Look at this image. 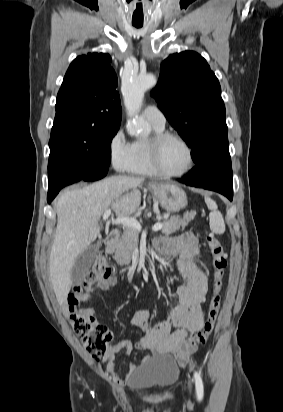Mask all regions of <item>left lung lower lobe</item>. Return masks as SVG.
I'll return each mask as SVG.
<instances>
[{
    "label": "left lung lower lobe",
    "mask_w": 283,
    "mask_h": 412,
    "mask_svg": "<svg viewBox=\"0 0 283 412\" xmlns=\"http://www.w3.org/2000/svg\"><path fill=\"white\" fill-rule=\"evenodd\" d=\"M216 154V156H214ZM196 166L180 182L194 187L213 190L229 200L233 197L231 160L221 150L210 153L208 158L196 160Z\"/></svg>",
    "instance_id": "left-lung-lower-lobe-1"
}]
</instances>
